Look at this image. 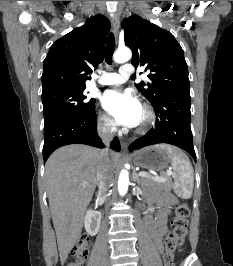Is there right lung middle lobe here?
I'll return each mask as SVG.
<instances>
[{
    "instance_id": "right-lung-middle-lobe-1",
    "label": "right lung middle lobe",
    "mask_w": 233,
    "mask_h": 266,
    "mask_svg": "<svg viewBox=\"0 0 233 266\" xmlns=\"http://www.w3.org/2000/svg\"><path fill=\"white\" fill-rule=\"evenodd\" d=\"M84 89H64L42 95L44 126L61 118L86 114L93 110L95 100H88Z\"/></svg>"
}]
</instances>
